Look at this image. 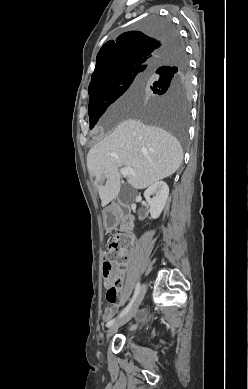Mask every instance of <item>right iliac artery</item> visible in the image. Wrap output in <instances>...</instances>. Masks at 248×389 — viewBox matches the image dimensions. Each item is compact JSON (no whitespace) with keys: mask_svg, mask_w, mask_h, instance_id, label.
<instances>
[{"mask_svg":"<svg viewBox=\"0 0 248 389\" xmlns=\"http://www.w3.org/2000/svg\"><path fill=\"white\" fill-rule=\"evenodd\" d=\"M139 290H140V283H137L136 285V288H135V292H134V295L130 301V303L126 306V308L120 313V315L118 316V318H121L123 317L125 314H127L129 312V310L131 309L133 303L135 302L138 294H139ZM115 322V319H112L110 320L108 323H107V327H110L112 326V324Z\"/></svg>","mask_w":248,"mask_h":389,"instance_id":"right-iliac-artery-1","label":"right iliac artery"}]
</instances>
